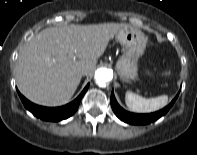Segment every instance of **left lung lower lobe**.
<instances>
[{
	"instance_id": "left-lung-lower-lobe-1",
	"label": "left lung lower lobe",
	"mask_w": 197,
	"mask_h": 155,
	"mask_svg": "<svg viewBox=\"0 0 197 155\" xmlns=\"http://www.w3.org/2000/svg\"><path fill=\"white\" fill-rule=\"evenodd\" d=\"M178 95L172 100V102L166 106L165 108L156 111L154 113H149V114H136V113H131L119 106L117 103L114 92L112 91L111 94V106L112 109L115 113V115L122 121L132 124V125H144V124H149L151 122L156 121L160 117L164 116L168 110L172 107L174 102L176 101Z\"/></svg>"
}]
</instances>
